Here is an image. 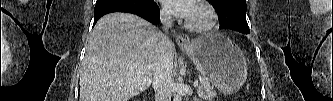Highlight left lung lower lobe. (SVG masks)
I'll return each mask as SVG.
<instances>
[{
    "label": "left lung lower lobe",
    "instance_id": "obj_1",
    "mask_svg": "<svg viewBox=\"0 0 333 101\" xmlns=\"http://www.w3.org/2000/svg\"><path fill=\"white\" fill-rule=\"evenodd\" d=\"M235 1H237L239 7H246V1L245 0H235ZM218 2L221 5L223 3V0H219ZM218 17H219V22H220V28H227V29L239 31V32L244 33V34L250 33L248 24H245V22L242 23L238 20H235V21H232V23H227L226 24L225 21L222 20L219 15H218Z\"/></svg>",
    "mask_w": 333,
    "mask_h": 101
}]
</instances>
